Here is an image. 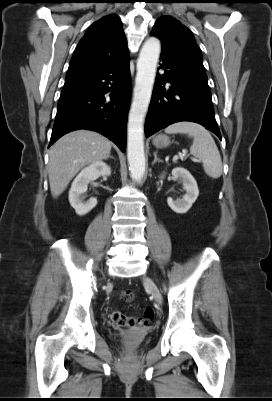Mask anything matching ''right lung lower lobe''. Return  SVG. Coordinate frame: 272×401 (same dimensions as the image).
<instances>
[{"instance_id":"obj_1","label":"right lung lower lobe","mask_w":272,"mask_h":401,"mask_svg":"<svg viewBox=\"0 0 272 401\" xmlns=\"http://www.w3.org/2000/svg\"><path fill=\"white\" fill-rule=\"evenodd\" d=\"M130 87L128 52L91 75L65 83L49 146L68 132L89 129L124 152Z\"/></svg>"}]
</instances>
